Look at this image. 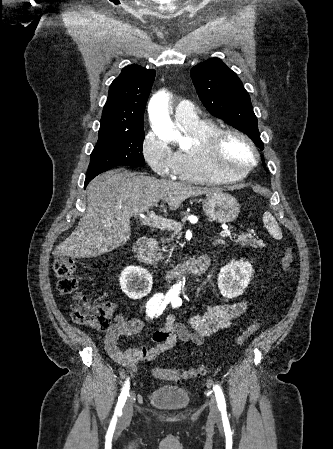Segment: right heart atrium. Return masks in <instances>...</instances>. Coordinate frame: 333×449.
Masks as SVG:
<instances>
[{
	"label": "right heart atrium",
	"instance_id": "right-heart-atrium-1",
	"mask_svg": "<svg viewBox=\"0 0 333 449\" xmlns=\"http://www.w3.org/2000/svg\"><path fill=\"white\" fill-rule=\"evenodd\" d=\"M141 152L151 169L161 177H173L176 170V154L169 144L154 132H148L141 145Z\"/></svg>",
	"mask_w": 333,
	"mask_h": 449
}]
</instances>
